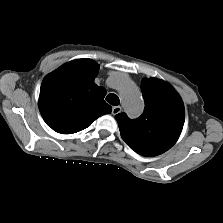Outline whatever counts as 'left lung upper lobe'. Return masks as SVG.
I'll use <instances>...</instances> for the list:
<instances>
[{
	"mask_svg": "<svg viewBox=\"0 0 223 223\" xmlns=\"http://www.w3.org/2000/svg\"><path fill=\"white\" fill-rule=\"evenodd\" d=\"M141 90L143 114L130 120L125 113L115 116L126 144L143 156H157L171 148L182 131L184 105L174 88L156 78L144 79Z\"/></svg>",
	"mask_w": 223,
	"mask_h": 223,
	"instance_id": "left-lung-upper-lobe-1",
	"label": "left lung upper lobe"
}]
</instances>
